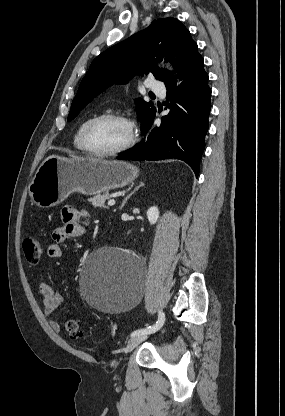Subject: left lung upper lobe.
Returning a JSON list of instances; mask_svg holds the SVG:
<instances>
[{
	"instance_id": "obj_1",
	"label": "left lung upper lobe",
	"mask_w": 285,
	"mask_h": 416,
	"mask_svg": "<svg viewBox=\"0 0 285 416\" xmlns=\"http://www.w3.org/2000/svg\"><path fill=\"white\" fill-rule=\"evenodd\" d=\"M201 55L197 44L185 26L175 18L154 20L146 29L114 45L96 57L83 78L71 104L68 121L94 97L114 83H126L136 73L151 72L165 85L175 81L167 70L159 69L155 63L165 58L173 63L178 76ZM137 114L142 128L155 117L152 102L136 100Z\"/></svg>"
}]
</instances>
